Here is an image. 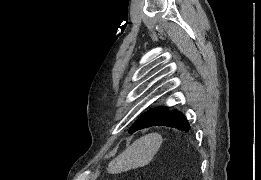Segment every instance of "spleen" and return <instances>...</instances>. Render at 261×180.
Returning a JSON list of instances; mask_svg holds the SVG:
<instances>
[{"mask_svg":"<svg viewBox=\"0 0 261 180\" xmlns=\"http://www.w3.org/2000/svg\"><path fill=\"white\" fill-rule=\"evenodd\" d=\"M161 144L162 136L156 132L142 136L110 162L108 174H121V172L133 170V168L148 166L155 154L159 152Z\"/></svg>","mask_w":261,"mask_h":180,"instance_id":"1","label":"spleen"}]
</instances>
